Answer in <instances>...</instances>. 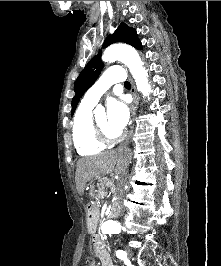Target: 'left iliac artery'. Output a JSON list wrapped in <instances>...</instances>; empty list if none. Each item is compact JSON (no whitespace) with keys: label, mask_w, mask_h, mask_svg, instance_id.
Wrapping results in <instances>:
<instances>
[{"label":"left iliac artery","mask_w":221,"mask_h":266,"mask_svg":"<svg viewBox=\"0 0 221 266\" xmlns=\"http://www.w3.org/2000/svg\"><path fill=\"white\" fill-rule=\"evenodd\" d=\"M117 257L120 258V259H123L125 260L126 257H127V254L125 251L123 250H118L117 253H116Z\"/></svg>","instance_id":"1"}]
</instances>
